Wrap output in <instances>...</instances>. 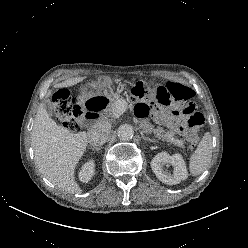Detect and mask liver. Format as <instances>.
Masks as SVG:
<instances>
[{
	"mask_svg": "<svg viewBox=\"0 0 248 248\" xmlns=\"http://www.w3.org/2000/svg\"><path fill=\"white\" fill-rule=\"evenodd\" d=\"M85 77L69 78L56 88L73 86ZM51 92L48 93L50 95ZM88 142L86 132L71 133L51 119L43 104L38 108L31 134L35 163L39 171L55 186L69 192L82 190L75 181L74 170Z\"/></svg>",
	"mask_w": 248,
	"mask_h": 248,
	"instance_id": "1",
	"label": "liver"
}]
</instances>
